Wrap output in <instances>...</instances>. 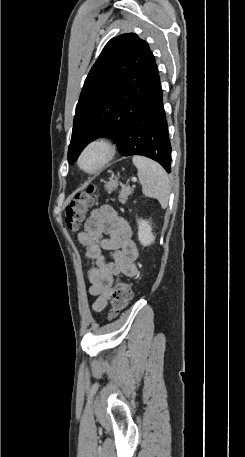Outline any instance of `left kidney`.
<instances>
[{
  "instance_id": "left-kidney-1",
  "label": "left kidney",
  "mask_w": 245,
  "mask_h": 457,
  "mask_svg": "<svg viewBox=\"0 0 245 457\" xmlns=\"http://www.w3.org/2000/svg\"><path fill=\"white\" fill-rule=\"evenodd\" d=\"M138 241H140L143 247H148V245H152L155 241V237L152 233V226L149 224V220H143V218H139L138 220Z\"/></svg>"
}]
</instances>
